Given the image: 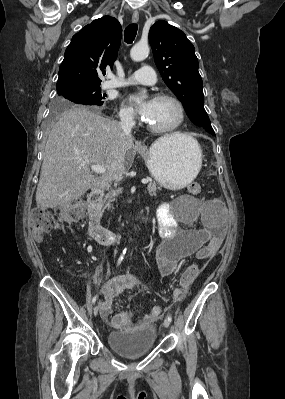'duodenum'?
<instances>
[{
  "instance_id": "duodenum-1",
  "label": "duodenum",
  "mask_w": 285,
  "mask_h": 399,
  "mask_svg": "<svg viewBox=\"0 0 285 399\" xmlns=\"http://www.w3.org/2000/svg\"><path fill=\"white\" fill-rule=\"evenodd\" d=\"M103 199V191L100 188H95L89 198V233L90 236L99 243H114L121 241L126 237V232L123 230H112L105 227L100 219V205ZM138 222H143L142 213L137 218Z\"/></svg>"
}]
</instances>
